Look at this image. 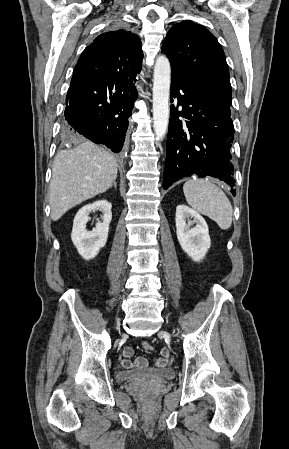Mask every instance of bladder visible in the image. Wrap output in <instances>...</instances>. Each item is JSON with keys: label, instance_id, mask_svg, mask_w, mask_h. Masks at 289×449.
Here are the masks:
<instances>
[{"label": "bladder", "instance_id": "bladder-1", "mask_svg": "<svg viewBox=\"0 0 289 449\" xmlns=\"http://www.w3.org/2000/svg\"><path fill=\"white\" fill-rule=\"evenodd\" d=\"M174 377L175 370L172 368L120 370L115 374L118 383L140 380L165 381L171 380Z\"/></svg>", "mask_w": 289, "mask_h": 449}]
</instances>
